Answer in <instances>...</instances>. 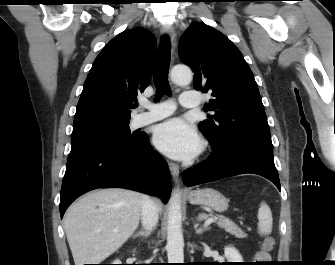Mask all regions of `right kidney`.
Instances as JSON below:
<instances>
[{"instance_id": "obj_1", "label": "right kidney", "mask_w": 335, "mask_h": 265, "mask_svg": "<svg viewBox=\"0 0 335 265\" xmlns=\"http://www.w3.org/2000/svg\"><path fill=\"white\" fill-rule=\"evenodd\" d=\"M113 264H121L119 260H116V262H113Z\"/></svg>"}]
</instances>
